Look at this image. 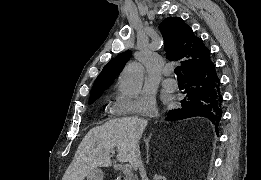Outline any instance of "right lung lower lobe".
<instances>
[{
  "mask_svg": "<svg viewBox=\"0 0 261 180\" xmlns=\"http://www.w3.org/2000/svg\"><path fill=\"white\" fill-rule=\"evenodd\" d=\"M187 83L185 96L178 109L167 113V120H181L195 116L208 118L214 125L216 132L222 117V94L220 80L213 62L191 68L184 73Z\"/></svg>",
  "mask_w": 261,
  "mask_h": 180,
  "instance_id": "1",
  "label": "right lung lower lobe"
}]
</instances>
